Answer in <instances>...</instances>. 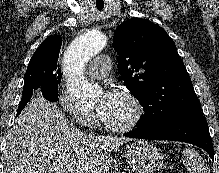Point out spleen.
Returning <instances> with one entry per match:
<instances>
[{
    "mask_svg": "<svg viewBox=\"0 0 219 173\" xmlns=\"http://www.w3.org/2000/svg\"><path fill=\"white\" fill-rule=\"evenodd\" d=\"M183 156L185 165L190 173H207L205 165L200 162V159L194 150H184Z\"/></svg>",
    "mask_w": 219,
    "mask_h": 173,
    "instance_id": "obj_1",
    "label": "spleen"
}]
</instances>
